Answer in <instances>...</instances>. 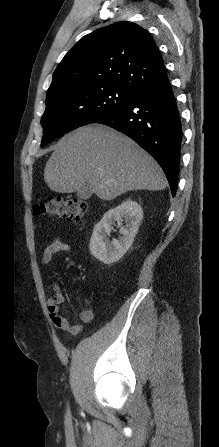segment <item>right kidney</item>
<instances>
[{
    "mask_svg": "<svg viewBox=\"0 0 219 447\" xmlns=\"http://www.w3.org/2000/svg\"><path fill=\"white\" fill-rule=\"evenodd\" d=\"M142 219L141 206L131 199L108 210L93 229L89 243L90 253L104 264L117 262L131 247ZM123 221L125 226H122ZM115 222L122 226L119 231L121 236L118 240L113 239L110 242L107 235Z\"/></svg>",
    "mask_w": 219,
    "mask_h": 447,
    "instance_id": "right-kidney-1",
    "label": "right kidney"
}]
</instances>
